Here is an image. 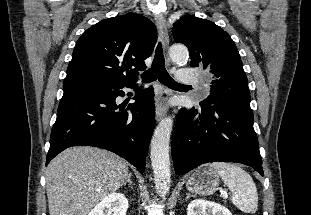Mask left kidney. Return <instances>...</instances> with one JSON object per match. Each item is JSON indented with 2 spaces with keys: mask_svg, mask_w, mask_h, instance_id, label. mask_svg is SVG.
<instances>
[{
  "mask_svg": "<svg viewBox=\"0 0 311 215\" xmlns=\"http://www.w3.org/2000/svg\"><path fill=\"white\" fill-rule=\"evenodd\" d=\"M187 215H232V213L220 204L198 199L188 205Z\"/></svg>",
  "mask_w": 311,
  "mask_h": 215,
  "instance_id": "1",
  "label": "left kidney"
}]
</instances>
